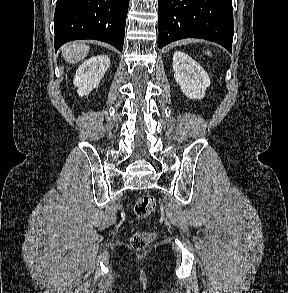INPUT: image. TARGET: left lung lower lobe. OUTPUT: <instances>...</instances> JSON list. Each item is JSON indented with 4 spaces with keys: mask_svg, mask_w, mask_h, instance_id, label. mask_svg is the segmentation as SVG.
<instances>
[{
    "mask_svg": "<svg viewBox=\"0 0 288 293\" xmlns=\"http://www.w3.org/2000/svg\"><path fill=\"white\" fill-rule=\"evenodd\" d=\"M158 18L159 48L179 39L201 38L231 52L232 0H158Z\"/></svg>",
    "mask_w": 288,
    "mask_h": 293,
    "instance_id": "0a47b994",
    "label": "left lung lower lobe"
}]
</instances>
